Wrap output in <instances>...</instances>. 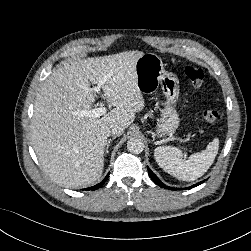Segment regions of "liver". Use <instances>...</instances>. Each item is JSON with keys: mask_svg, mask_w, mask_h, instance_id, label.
I'll use <instances>...</instances> for the list:
<instances>
[{"mask_svg": "<svg viewBox=\"0 0 251 251\" xmlns=\"http://www.w3.org/2000/svg\"><path fill=\"white\" fill-rule=\"evenodd\" d=\"M141 51L63 62L43 83L36 96L31 142L51 180L76 189L97 181L103 172L107 128H128L144 108L137 86L136 62ZM115 106L102 117H81L95 102L91 84H99Z\"/></svg>", "mask_w": 251, "mask_h": 251, "instance_id": "liver-1", "label": "liver"}]
</instances>
